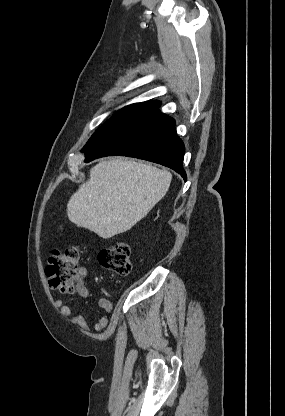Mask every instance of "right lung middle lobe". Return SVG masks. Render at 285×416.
Listing matches in <instances>:
<instances>
[{
    "mask_svg": "<svg viewBox=\"0 0 285 416\" xmlns=\"http://www.w3.org/2000/svg\"><path fill=\"white\" fill-rule=\"evenodd\" d=\"M157 112L159 105L151 102L135 103L120 109L94 132L82 152Z\"/></svg>",
    "mask_w": 285,
    "mask_h": 416,
    "instance_id": "right-lung-middle-lobe-1",
    "label": "right lung middle lobe"
}]
</instances>
